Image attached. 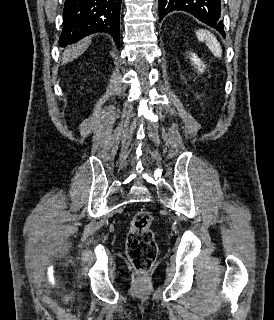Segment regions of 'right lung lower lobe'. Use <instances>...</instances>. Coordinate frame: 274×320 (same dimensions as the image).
Segmentation results:
<instances>
[{"label": "right lung lower lobe", "instance_id": "1", "mask_svg": "<svg viewBox=\"0 0 274 320\" xmlns=\"http://www.w3.org/2000/svg\"><path fill=\"white\" fill-rule=\"evenodd\" d=\"M121 1L65 0L60 46L65 47L95 32L109 33L119 44Z\"/></svg>", "mask_w": 274, "mask_h": 320}]
</instances>
